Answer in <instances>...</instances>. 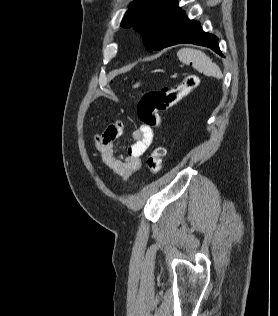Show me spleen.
I'll return each mask as SVG.
<instances>
[{"label":"spleen","instance_id":"spleen-1","mask_svg":"<svg viewBox=\"0 0 278 316\" xmlns=\"http://www.w3.org/2000/svg\"><path fill=\"white\" fill-rule=\"evenodd\" d=\"M177 56L182 63H185L187 65L192 63L194 69L207 76H213L216 78L223 77L222 71L220 70L218 65L200 50L183 48L178 51Z\"/></svg>","mask_w":278,"mask_h":316}]
</instances>
